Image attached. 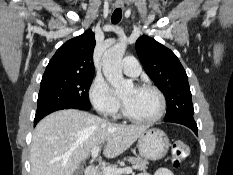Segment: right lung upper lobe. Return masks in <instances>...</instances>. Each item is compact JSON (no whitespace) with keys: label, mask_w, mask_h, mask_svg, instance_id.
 Returning a JSON list of instances; mask_svg holds the SVG:
<instances>
[{"label":"right lung upper lobe","mask_w":233,"mask_h":175,"mask_svg":"<svg viewBox=\"0 0 233 175\" xmlns=\"http://www.w3.org/2000/svg\"><path fill=\"white\" fill-rule=\"evenodd\" d=\"M95 35L91 30L63 44L46 67L43 78L71 75H94Z\"/></svg>","instance_id":"1"}]
</instances>
